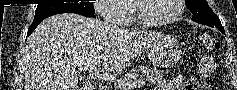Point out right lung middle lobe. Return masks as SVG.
<instances>
[{
  "label": "right lung middle lobe",
  "mask_w": 237,
  "mask_h": 90,
  "mask_svg": "<svg viewBox=\"0 0 237 90\" xmlns=\"http://www.w3.org/2000/svg\"><path fill=\"white\" fill-rule=\"evenodd\" d=\"M85 12L94 14L95 10L92 3H59V4H38L34 20H40L60 13Z\"/></svg>",
  "instance_id": "dd1d6c3e"
}]
</instances>
